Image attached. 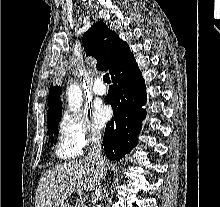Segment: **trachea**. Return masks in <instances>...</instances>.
<instances>
[{"instance_id": "3493384b", "label": "trachea", "mask_w": 220, "mask_h": 207, "mask_svg": "<svg viewBox=\"0 0 220 207\" xmlns=\"http://www.w3.org/2000/svg\"><path fill=\"white\" fill-rule=\"evenodd\" d=\"M103 80H104V82H106V83H111L109 74H105V75L103 76Z\"/></svg>"}]
</instances>
